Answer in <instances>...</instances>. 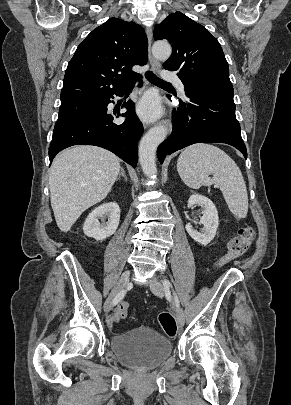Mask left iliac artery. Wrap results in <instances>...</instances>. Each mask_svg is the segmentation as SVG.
<instances>
[{
    "mask_svg": "<svg viewBox=\"0 0 291 405\" xmlns=\"http://www.w3.org/2000/svg\"><path fill=\"white\" fill-rule=\"evenodd\" d=\"M163 284H164V286H165L166 288H170V287L172 288V285H171V283H170L168 280H164ZM174 295H175L176 304L178 305V304H179L178 298H177V296H176L175 293H174Z\"/></svg>",
    "mask_w": 291,
    "mask_h": 405,
    "instance_id": "44dca946",
    "label": "left iliac artery"
}]
</instances>
